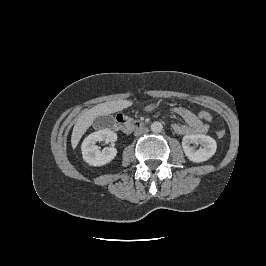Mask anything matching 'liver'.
Returning <instances> with one entry per match:
<instances>
[{
    "label": "liver",
    "instance_id": "1",
    "mask_svg": "<svg viewBox=\"0 0 266 266\" xmlns=\"http://www.w3.org/2000/svg\"><path fill=\"white\" fill-rule=\"evenodd\" d=\"M133 102L129 100H116L98 104L91 109L84 110L78 117L71 136V145L75 149L86 130L93 124L99 116L109 115L122 111L130 106Z\"/></svg>",
    "mask_w": 266,
    "mask_h": 266
}]
</instances>
